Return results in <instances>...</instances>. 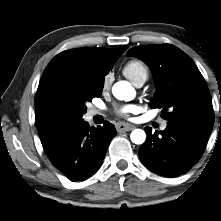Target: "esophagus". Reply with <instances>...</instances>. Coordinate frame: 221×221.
Here are the masks:
<instances>
[{"label":"esophagus","mask_w":221,"mask_h":221,"mask_svg":"<svg viewBox=\"0 0 221 221\" xmlns=\"http://www.w3.org/2000/svg\"><path fill=\"white\" fill-rule=\"evenodd\" d=\"M135 128V126L130 125V124H125V123H117L116 124V129L118 132H126V131H131Z\"/></svg>","instance_id":"obj_1"}]
</instances>
